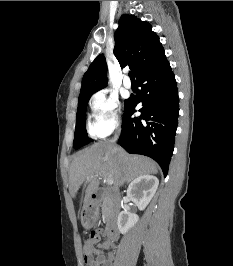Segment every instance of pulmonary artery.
<instances>
[{
  "mask_svg": "<svg viewBox=\"0 0 233 266\" xmlns=\"http://www.w3.org/2000/svg\"><path fill=\"white\" fill-rule=\"evenodd\" d=\"M123 85L127 89H130L132 87V82H131V80L129 79L128 76H125L124 77V79H123Z\"/></svg>",
  "mask_w": 233,
  "mask_h": 266,
  "instance_id": "pulmonary-artery-1",
  "label": "pulmonary artery"
}]
</instances>
